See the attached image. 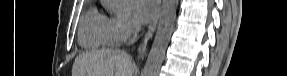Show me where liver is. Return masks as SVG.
<instances>
[{
  "mask_svg": "<svg viewBox=\"0 0 287 76\" xmlns=\"http://www.w3.org/2000/svg\"><path fill=\"white\" fill-rule=\"evenodd\" d=\"M135 65L126 53L104 49L75 59L73 76H132Z\"/></svg>",
  "mask_w": 287,
  "mask_h": 76,
  "instance_id": "1",
  "label": "liver"
}]
</instances>
